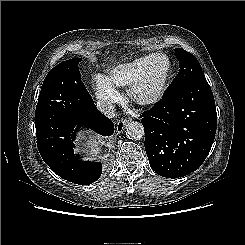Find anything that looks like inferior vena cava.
Returning <instances> with one entry per match:
<instances>
[{
    "label": "inferior vena cava",
    "mask_w": 245,
    "mask_h": 245,
    "mask_svg": "<svg viewBox=\"0 0 245 245\" xmlns=\"http://www.w3.org/2000/svg\"><path fill=\"white\" fill-rule=\"evenodd\" d=\"M97 108L100 112L106 115L109 118H113L115 116L114 105L108 100H98Z\"/></svg>",
    "instance_id": "602c4592"
}]
</instances>
